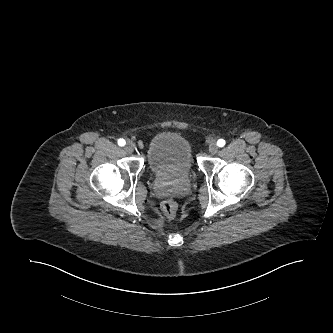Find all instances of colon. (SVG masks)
<instances>
[{"label": "colon", "mask_w": 333, "mask_h": 333, "mask_svg": "<svg viewBox=\"0 0 333 333\" xmlns=\"http://www.w3.org/2000/svg\"><path fill=\"white\" fill-rule=\"evenodd\" d=\"M162 211L168 217H173L177 214L178 205L174 200H166L162 204Z\"/></svg>", "instance_id": "5ec220e1"}]
</instances>
